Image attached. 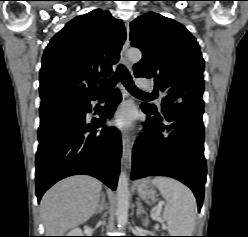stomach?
Returning a JSON list of instances; mask_svg holds the SVG:
<instances>
[{
	"instance_id": "1",
	"label": "stomach",
	"mask_w": 248,
	"mask_h": 237,
	"mask_svg": "<svg viewBox=\"0 0 248 237\" xmlns=\"http://www.w3.org/2000/svg\"><path fill=\"white\" fill-rule=\"evenodd\" d=\"M138 195L148 204L156 202V190L148 179L141 181L137 186Z\"/></svg>"
}]
</instances>
